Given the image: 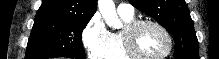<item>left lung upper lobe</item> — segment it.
<instances>
[{
  "label": "left lung upper lobe",
  "mask_w": 219,
  "mask_h": 59,
  "mask_svg": "<svg viewBox=\"0 0 219 59\" xmlns=\"http://www.w3.org/2000/svg\"><path fill=\"white\" fill-rule=\"evenodd\" d=\"M173 33L174 58L199 59L198 40L185 0H129Z\"/></svg>",
  "instance_id": "5c2ea615"
}]
</instances>
